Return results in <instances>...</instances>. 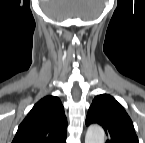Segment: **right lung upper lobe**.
Returning <instances> with one entry per match:
<instances>
[{"mask_svg": "<svg viewBox=\"0 0 145 143\" xmlns=\"http://www.w3.org/2000/svg\"><path fill=\"white\" fill-rule=\"evenodd\" d=\"M67 120L56 96L37 102L19 125L13 143H65Z\"/></svg>", "mask_w": 145, "mask_h": 143, "instance_id": "obj_1", "label": "right lung upper lobe"}]
</instances>
